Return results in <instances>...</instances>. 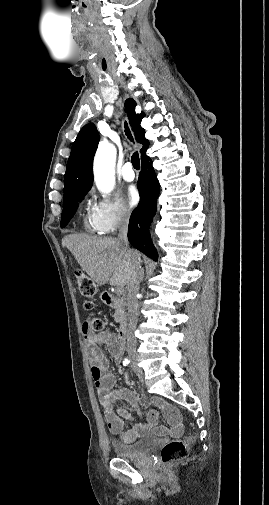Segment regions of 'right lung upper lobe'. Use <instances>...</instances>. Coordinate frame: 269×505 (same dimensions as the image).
Here are the masks:
<instances>
[{
    "instance_id": "cb5924a9",
    "label": "right lung upper lobe",
    "mask_w": 269,
    "mask_h": 505,
    "mask_svg": "<svg viewBox=\"0 0 269 505\" xmlns=\"http://www.w3.org/2000/svg\"><path fill=\"white\" fill-rule=\"evenodd\" d=\"M136 102L129 98L125 102V112L128 115L130 125L135 134L136 141L143 145L140 150L141 160L146 158L145 152L149 147V141L145 138V130L140 123L144 117L135 113ZM99 134L94 124L85 125L79 132L71 149L64 178V200L87 191L93 183L92 162L98 146Z\"/></svg>"
}]
</instances>
